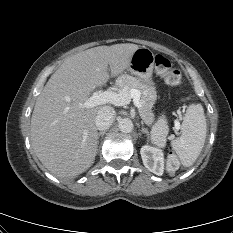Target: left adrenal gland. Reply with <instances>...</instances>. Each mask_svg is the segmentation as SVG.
<instances>
[{"mask_svg": "<svg viewBox=\"0 0 233 233\" xmlns=\"http://www.w3.org/2000/svg\"><path fill=\"white\" fill-rule=\"evenodd\" d=\"M141 132L142 133H145L147 136H148V138H149V131H148V129L147 128H145L144 126H142V128H141Z\"/></svg>", "mask_w": 233, "mask_h": 233, "instance_id": "left-adrenal-gland-1", "label": "left adrenal gland"}]
</instances>
